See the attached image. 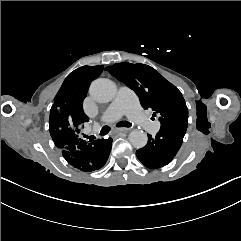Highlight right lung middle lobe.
<instances>
[{
    "label": "right lung middle lobe",
    "mask_w": 241,
    "mask_h": 241,
    "mask_svg": "<svg viewBox=\"0 0 241 241\" xmlns=\"http://www.w3.org/2000/svg\"><path fill=\"white\" fill-rule=\"evenodd\" d=\"M72 73L78 80L83 82H91L100 75L95 66H83L74 70Z\"/></svg>",
    "instance_id": "obj_1"
}]
</instances>
